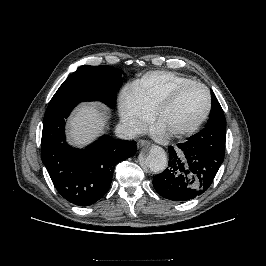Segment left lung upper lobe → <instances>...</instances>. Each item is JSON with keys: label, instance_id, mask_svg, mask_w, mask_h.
I'll return each instance as SVG.
<instances>
[{"label": "left lung upper lobe", "instance_id": "5c2ea615", "mask_svg": "<svg viewBox=\"0 0 266 266\" xmlns=\"http://www.w3.org/2000/svg\"><path fill=\"white\" fill-rule=\"evenodd\" d=\"M210 118L206 127L197 134L188 138L192 145L205 152L224 157L226 140V122L224 112L213 92Z\"/></svg>", "mask_w": 266, "mask_h": 266}]
</instances>
